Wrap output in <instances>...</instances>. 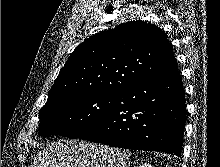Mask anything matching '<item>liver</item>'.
Instances as JSON below:
<instances>
[{"label":"liver","mask_w":220,"mask_h":167,"mask_svg":"<svg viewBox=\"0 0 220 167\" xmlns=\"http://www.w3.org/2000/svg\"><path fill=\"white\" fill-rule=\"evenodd\" d=\"M130 152L76 140L48 143L32 167H128Z\"/></svg>","instance_id":"obj_1"}]
</instances>
